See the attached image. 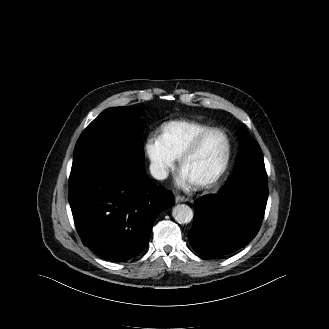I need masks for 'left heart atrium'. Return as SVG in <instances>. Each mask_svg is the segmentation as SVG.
I'll return each instance as SVG.
<instances>
[{
	"label": "left heart atrium",
	"instance_id": "obj_1",
	"mask_svg": "<svg viewBox=\"0 0 329 329\" xmlns=\"http://www.w3.org/2000/svg\"><path fill=\"white\" fill-rule=\"evenodd\" d=\"M178 184L184 188H190L193 185V182L184 174L180 173L178 178Z\"/></svg>",
	"mask_w": 329,
	"mask_h": 329
}]
</instances>
